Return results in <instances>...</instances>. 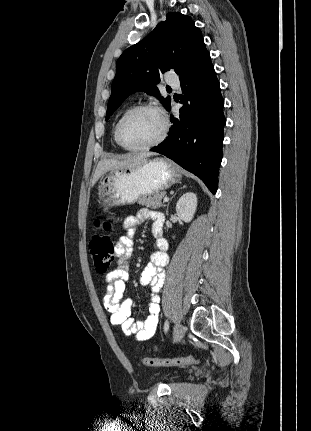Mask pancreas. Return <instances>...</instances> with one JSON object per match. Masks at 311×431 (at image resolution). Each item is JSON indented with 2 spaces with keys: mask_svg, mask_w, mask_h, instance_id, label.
Returning a JSON list of instances; mask_svg holds the SVG:
<instances>
[{
  "mask_svg": "<svg viewBox=\"0 0 311 431\" xmlns=\"http://www.w3.org/2000/svg\"><path fill=\"white\" fill-rule=\"evenodd\" d=\"M166 194L167 192H159V194H152V196H142V198H139L138 204L146 206L150 210H158V208H163L161 200Z\"/></svg>",
  "mask_w": 311,
  "mask_h": 431,
  "instance_id": "1",
  "label": "pancreas"
}]
</instances>
